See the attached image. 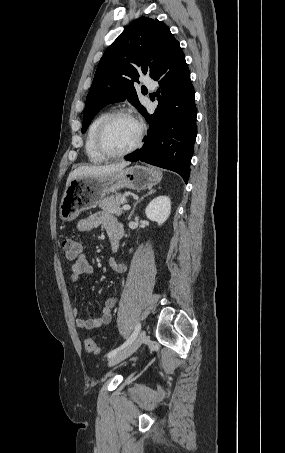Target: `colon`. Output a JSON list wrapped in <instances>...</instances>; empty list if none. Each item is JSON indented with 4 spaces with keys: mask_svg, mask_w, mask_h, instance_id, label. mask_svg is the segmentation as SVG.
I'll list each match as a JSON object with an SVG mask.
<instances>
[{
    "mask_svg": "<svg viewBox=\"0 0 285 453\" xmlns=\"http://www.w3.org/2000/svg\"><path fill=\"white\" fill-rule=\"evenodd\" d=\"M62 248L65 256L69 260H76L82 253V244L74 237H66L62 242ZM85 350L90 354H97L99 348L95 341L87 338L84 342Z\"/></svg>",
    "mask_w": 285,
    "mask_h": 453,
    "instance_id": "colon-1",
    "label": "colon"
}]
</instances>
